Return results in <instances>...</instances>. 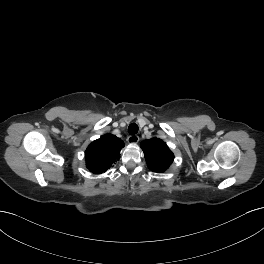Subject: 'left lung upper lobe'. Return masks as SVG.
Here are the masks:
<instances>
[{"label": "left lung upper lobe", "instance_id": "5c2ea615", "mask_svg": "<svg viewBox=\"0 0 264 264\" xmlns=\"http://www.w3.org/2000/svg\"><path fill=\"white\" fill-rule=\"evenodd\" d=\"M141 148L148 167L154 172H164L173 162V153L167 144L158 138L142 141Z\"/></svg>", "mask_w": 264, "mask_h": 264}]
</instances>
